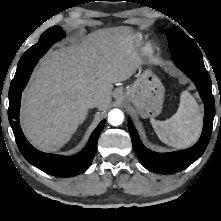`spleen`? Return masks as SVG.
Listing matches in <instances>:
<instances>
[{
	"label": "spleen",
	"mask_w": 221,
	"mask_h": 221,
	"mask_svg": "<svg viewBox=\"0 0 221 221\" xmlns=\"http://www.w3.org/2000/svg\"><path fill=\"white\" fill-rule=\"evenodd\" d=\"M159 139L175 148H187L195 143L202 130L203 115L196 100L187 91L180 95L177 112L169 119H151Z\"/></svg>",
	"instance_id": "3e777b00"
}]
</instances>
